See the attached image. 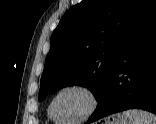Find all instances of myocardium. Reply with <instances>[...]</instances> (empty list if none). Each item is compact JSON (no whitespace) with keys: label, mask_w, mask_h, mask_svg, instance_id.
<instances>
[{"label":"myocardium","mask_w":156,"mask_h":124,"mask_svg":"<svg viewBox=\"0 0 156 124\" xmlns=\"http://www.w3.org/2000/svg\"><path fill=\"white\" fill-rule=\"evenodd\" d=\"M68 90H79L83 91L86 93L90 99V106L88 110L80 117L71 119V120H63L65 123H80L83 121L88 120L98 109L100 102H101V97L99 92L97 91L96 88L93 86L86 84V83H71L68 85H65L61 87L55 95L52 97L50 103H49V110L52 113V115L57 118V116L54 114V104L57 100V98L64 93L65 91Z\"/></svg>","instance_id":"obj_1"}]
</instances>
